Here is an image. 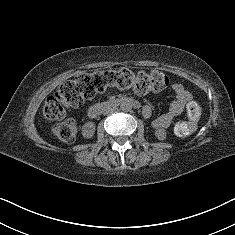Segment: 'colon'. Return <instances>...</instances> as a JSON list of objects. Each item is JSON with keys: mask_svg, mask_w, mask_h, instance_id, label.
<instances>
[{"mask_svg": "<svg viewBox=\"0 0 235 235\" xmlns=\"http://www.w3.org/2000/svg\"><path fill=\"white\" fill-rule=\"evenodd\" d=\"M169 82V76L157 70L138 74L128 69L81 73L64 82L52 96L47 98L43 107V116L47 120H62L67 109L79 108L86 100L109 88H133L137 93L145 94L160 92L169 85ZM186 111L190 122L178 123L175 126V133L179 136L191 133L200 116V108L196 102H189ZM52 131L59 140L70 143L75 140L78 127L73 119H66L56 124Z\"/></svg>", "mask_w": 235, "mask_h": 235, "instance_id": "colon-1", "label": "colon"}]
</instances>
